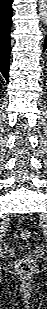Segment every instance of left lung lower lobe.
Listing matches in <instances>:
<instances>
[{
    "label": "left lung lower lobe",
    "mask_w": 47,
    "mask_h": 309,
    "mask_svg": "<svg viewBox=\"0 0 47 309\" xmlns=\"http://www.w3.org/2000/svg\"><path fill=\"white\" fill-rule=\"evenodd\" d=\"M47 49V36L44 41L43 52Z\"/></svg>",
    "instance_id": "1"
}]
</instances>
